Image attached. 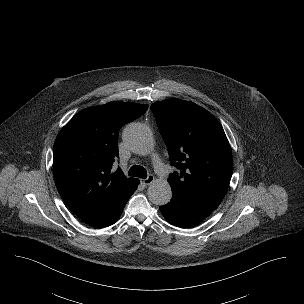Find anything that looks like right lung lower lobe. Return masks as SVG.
Masks as SVG:
<instances>
[{
    "label": "right lung lower lobe",
    "mask_w": 304,
    "mask_h": 304,
    "mask_svg": "<svg viewBox=\"0 0 304 304\" xmlns=\"http://www.w3.org/2000/svg\"><path fill=\"white\" fill-rule=\"evenodd\" d=\"M138 185L139 180L136 179V181L109 207L108 210L89 223L96 227H107L114 224L119 219L125 204L135 192Z\"/></svg>",
    "instance_id": "obj_1"
}]
</instances>
